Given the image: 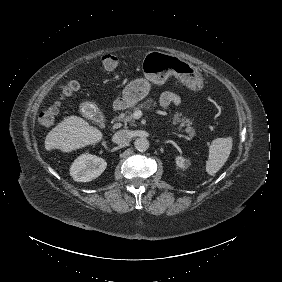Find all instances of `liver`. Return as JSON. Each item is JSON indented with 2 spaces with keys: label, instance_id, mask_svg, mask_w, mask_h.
Segmentation results:
<instances>
[{
  "label": "liver",
  "instance_id": "6515ba94",
  "mask_svg": "<svg viewBox=\"0 0 282 282\" xmlns=\"http://www.w3.org/2000/svg\"><path fill=\"white\" fill-rule=\"evenodd\" d=\"M100 138L101 134L96 128L89 126L81 118L71 117L65 119L58 128L48 133L45 147L50 150L60 144L62 149L68 151L98 141Z\"/></svg>",
  "mask_w": 282,
  "mask_h": 282
}]
</instances>
